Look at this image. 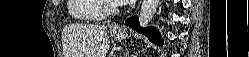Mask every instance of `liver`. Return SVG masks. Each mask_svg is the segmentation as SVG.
<instances>
[{
  "mask_svg": "<svg viewBox=\"0 0 249 57\" xmlns=\"http://www.w3.org/2000/svg\"><path fill=\"white\" fill-rule=\"evenodd\" d=\"M105 25H69L64 35L69 39L71 57H106L110 41Z\"/></svg>",
  "mask_w": 249,
  "mask_h": 57,
  "instance_id": "6515ba94",
  "label": "liver"
}]
</instances>
